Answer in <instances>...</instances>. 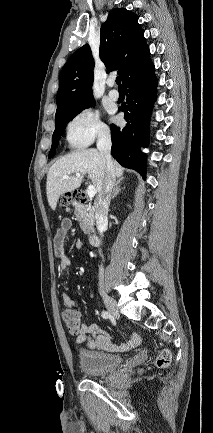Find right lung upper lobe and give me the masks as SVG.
Listing matches in <instances>:
<instances>
[{
	"mask_svg": "<svg viewBox=\"0 0 213 433\" xmlns=\"http://www.w3.org/2000/svg\"><path fill=\"white\" fill-rule=\"evenodd\" d=\"M100 58L108 72L118 70L123 84L149 59V48L138 16L125 8L110 11L100 31ZM94 60L88 44L63 66L57 92L55 119L68 109L93 98Z\"/></svg>",
	"mask_w": 213,
	"mask_h": 433,
	"instance_id": "right-lung-upper-lobe-1",
	"label": "right lung upper lobe"
}]
</instances>
